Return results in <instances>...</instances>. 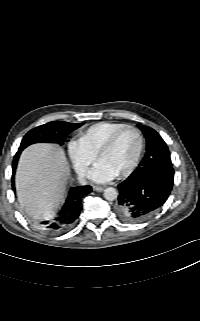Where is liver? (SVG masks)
<instances>
[{"label": "liver", "mask_w": 200, "mask_h": 321, "mask_svg": "<svg viewBox=\"0 0 200 321\" xmlns=\"http://www.w3.org/2000/svg\"><path fill=\"white\" fill-rule=\"evenodd\" d=\"M70 168L64 151L48 144L26 148L15 175L18 201L37 219L49 217L64 195Z\"/></svg>", "instance_id": "6515ba94"}]
</instances>
